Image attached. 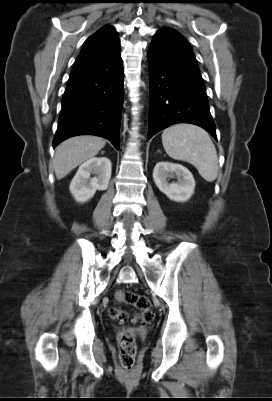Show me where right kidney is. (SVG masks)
I'll list each match as a JSON object with an SVG mask.
<instances>
[{"label":"right kidney","instance_id":"1","mask_svg":"<svg viewBox=\"0 0 272 401\" xmlns=\"http://www.w3.org/2000/svg\"><path fill=\"white\" fill-rule=\"evenodd\" d=\"M112 164L107 157H93L84 162L70 183V192L77 202L91 199L97 190L108 188ZM91 174L95 176L90 178Z\"/></svg>","mask_w":272,"mask_h":401}]
</instances>
